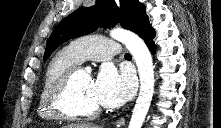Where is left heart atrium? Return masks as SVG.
Listing matches in <instances>:
<instances>
[{
  "label": "left heart atrium",
  "mask_w": 221,
  "mask_h": 128,
  "mask_svg": "<svg viewBox=\"0 0 221 128\" xmlns=\"http://www.w3.org/2000/svg\"><path fill=\"white\" fill-rule=\"evenodd\" d=\"M91 88L100 106L116 108L134 91V80L129 74H118L111 66H103L91 80Z\"/></svg>",
  "instance_id": "1"
}]
</instances>
